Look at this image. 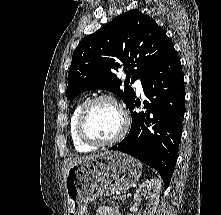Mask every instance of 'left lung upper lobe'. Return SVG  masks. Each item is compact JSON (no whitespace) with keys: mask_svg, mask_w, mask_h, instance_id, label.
<instances>
[{"mask_svg":"<svg viewBox=\"0 0 221 215\" xmlns=\"http://www.w3.org/2000/svg\"><path fill=\"white\" fill-rule=\"evenodd\" d=\"M171 44L156 22L140 11L118 16L76 47L68 71L67 99L72 101L86 90L102 89L115 93L129 107L135 91L126 80L121 88L122 81L115 73L123 68L131 83L142 80Z\"/></svg>","mask_w":221,"mask_h":215,"instance_id":"5c2ea615","label":"left lung upper lobe"}]
</instances>
